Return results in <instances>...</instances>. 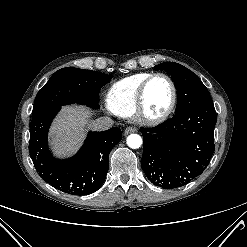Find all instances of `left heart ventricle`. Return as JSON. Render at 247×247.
Masks as SVG:
<instances>
[{"mask_svg": "<svg viewBox=\"0 0 247 247\" xmlns=\"http://www.w3.org/2000/svg\"><path fill=\"white\" fill-rule=\"evenodd\" d=\"M172 89L163 77L153 79L147 87L144 111L148 116H159L169 107Z\"/></svg>", "mask_w": 247, "mask_h": 247, "instance_id": "b2bd125f", "label": "left heart ventricle"}]
</instances>
